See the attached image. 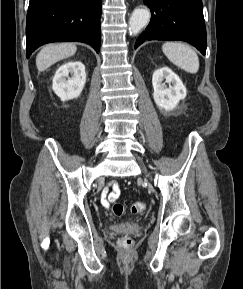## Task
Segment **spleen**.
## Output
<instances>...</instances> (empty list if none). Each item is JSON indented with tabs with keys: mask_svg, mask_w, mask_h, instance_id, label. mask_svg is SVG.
<instances>
[{
	"mask_svg": "<svg viewBox=\"0 0 243 289\" xmlns=\"http://www.w3.org/2000/svg\"><path fill=\"white\" fill-rule=\"evenodd\" d=\"M162 51L174 65L189 73H197L199 58L188 45L179 42H166L162 45Z\"/></svg>",
	"mask_w": 243,
	"mask_h": 289,
	"instance_id": "spleen-1",
	"label": "spleen"
}]
</instances>
